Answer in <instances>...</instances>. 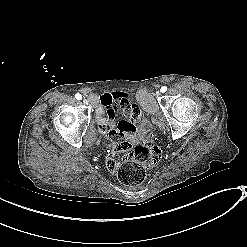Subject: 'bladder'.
I'll return each instance as SVG.
<instances>
[{
	"mask_svg": "<svg viewBox=\"0 0 247 247\" xmlns=\"http://www.w3.org/2000/svg\"><path fill=\"white\" fill-rule=\"evenodd\" d=\"M138 98L135 97V99H138V104L144 113L136 122V128H135V138H144L148 135V132L155 128V123L153 119L150 117L149 108L147 107V104L145 103L143 95L137 94Z\"/></svg>",
	"mask_w": 247,
	"mask_h": 247,
	"instance_id": "31cf9c89",
	"label": "bladder"
}]
</instances>
